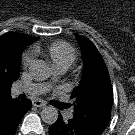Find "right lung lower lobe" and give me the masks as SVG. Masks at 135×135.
<instances>
[{"label": "right lung lower lobe", "instance_id": "obj_1", "mask_svg": "<svg viewBox=\"0 0 135 135\" xmlns=\"http://www.w3.org/2000/svg\"><path fill=\"white\" fill-rule=\"evenodd\" d=\"M32 107L30 100L19 101L3 98L0 100V135H14L17 127L28 110Z\"/></svg>", "mask_w": 135, "mask_h": 135}]
</instances>
